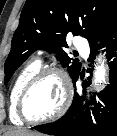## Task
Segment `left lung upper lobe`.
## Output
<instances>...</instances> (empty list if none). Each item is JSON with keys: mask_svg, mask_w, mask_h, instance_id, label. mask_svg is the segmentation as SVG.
Masks as SVG:
<instances>
[{"mask_svg": "<svg viewBox=\"0 0 117 136\" xmlns=\"http://www.w3.org/2000/svg\"><path fill=\"white\" fill-rule=\"evenodd\" d=\"M116 19L117 0H27L4 65V83L38 49L56 53L75 80L81 63L72 61L64 51L66 35H80L92 44Z\"/></svg>", "mask_w": 117, "mask_h": 136, "instance_id": "5c2ea615", "label": "left lung upper lobe"}]
</instances>
